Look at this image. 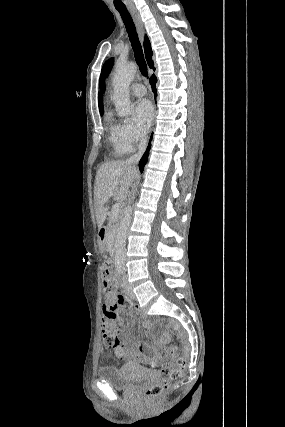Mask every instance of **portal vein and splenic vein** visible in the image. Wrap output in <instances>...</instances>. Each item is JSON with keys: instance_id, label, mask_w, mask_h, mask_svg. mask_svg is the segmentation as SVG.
<instances>
[{"instance_id": "1", "label": "portal vein and splenic vein", "mask_w": 285, "mask_h": 427, "mask_svg": "<svg viewBox=\"0 0 285 427\" xmlns=\"http://www.w3.org/2000/svg\"><path fill=\"white\" fill-rule=\"evenodd\" d=\"M110 194L112 195L113 193H112V190H110ZM119 211H120V204L119 203H116L114 206H113V208H112V216L114 217V218H116L117 216H118V214H119Z\"/></svg>"}]
</instances>
